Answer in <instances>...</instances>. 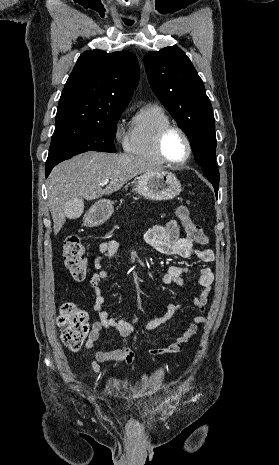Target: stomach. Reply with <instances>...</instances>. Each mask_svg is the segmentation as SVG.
<instances>
[{"label":"stomach","instance_id":"0dacf381","mask_svg":"<svg viewBox=\"0 0 279 465\" xmlns=\"http://www.w3.org/2000/svg\"><path fill=\"white\" fill-rule=\"evenodd\" d=\"M134 191L139 195L156 201L171 200L182 191L181 183L175 174L168 171L144 173L136 183ZM113 203L107 199L97 201L85 214L87 226H99L113 214Z\"/></svg>","mask_w":279,"mask_h":465}]
</instances>
